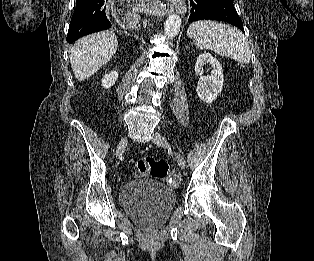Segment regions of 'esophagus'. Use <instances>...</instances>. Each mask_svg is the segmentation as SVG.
I'll list each match as a JSON object with an SVG mask.
<instances>
[{"label": "esophagus", "instance_id": "34e87169", "mask_svg": "<svg viewBox=\"0 0 314 261\" xmlns=\"http://www.w3.org/2000/svg\"><path fill=\"white\" fill-rule=\"evenodd\" d=\"M168 4L165 5H157L155 10L162 13H170L174 10L178 11L179 13H185L186 7L182 0H166Z\"/></svg>", "mask_w": 314, "mask_h": 261}]
</instances>
